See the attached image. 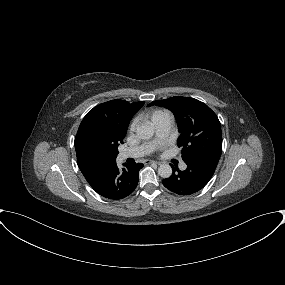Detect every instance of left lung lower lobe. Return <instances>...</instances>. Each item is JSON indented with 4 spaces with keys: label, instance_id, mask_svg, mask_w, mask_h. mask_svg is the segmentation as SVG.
I'll return each instance as SVG.
<instances>
[{
    "label": "left lung lower lobe",
    "instance_id": "obj_1",
    "mask_svg": "<svg viewBox=\"0 0 285 285\" xmlns=\"http://www.w3.org/2000/svg\"><path fill=\"white\" fill-rule=\"evenodd\" d=\"M219 157L201 156L186 161L184 171L175 169L173 174L164 180L163 185L178 195H191L201 190L213 176ZM177 170V172H176Z\"/></svg>",
    "mask_w": 285,
    "mask_h": 285
}]
</instances>
